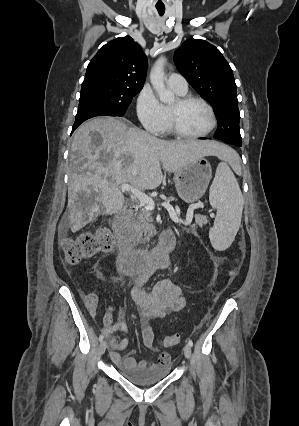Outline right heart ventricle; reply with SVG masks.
<instances>
[{
	"instance_id": "1",
	"label": "right heart ventricle",
	"mask_w": 299,
	"mask_h": 426,
	"mask_svg": "<svg viewBox=\"0 0 299 426\" xmlns=\"http://www.w3.org/2000/svg\"><path fill=\"white\" fill-rule=\"evenodd\" d=\"M174 90V89H173ZM174 92L179 95V96H183L186 94V92H179L174 90ZM164 107V106H163ZM164 111H165V116H166V126H165V130H171V125H170V117H169V107H164Z\"/></svg>"
}]
</instances>
